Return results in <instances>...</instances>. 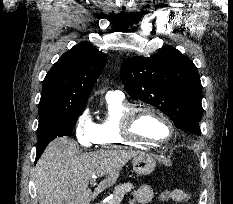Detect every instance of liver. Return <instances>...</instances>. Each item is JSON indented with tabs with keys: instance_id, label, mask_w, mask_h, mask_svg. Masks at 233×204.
Segmentation results:
<instances>
[{
	"instance_id": "6515ba94",
	"label": "liver",
	"mask_w": 233,
	"mask_h": 204,
	"mask_svg": "<svg viewBox=\"0 0 233 204\" xmlns=\"http://www.w3.org/2000/svg\"><path fill=\"white\" fill-rule=\"evenodd\" d=\"M68 137L49 143L35 167L34 185L39 204H90L100 192L114 185L122 167L139 154L134 150H100L77 153ZM105 176L94 192V177Z\"/></svg>"
}]
</instances>
